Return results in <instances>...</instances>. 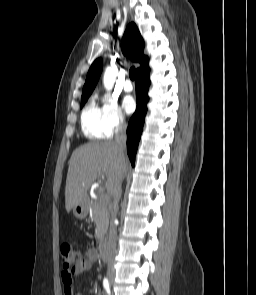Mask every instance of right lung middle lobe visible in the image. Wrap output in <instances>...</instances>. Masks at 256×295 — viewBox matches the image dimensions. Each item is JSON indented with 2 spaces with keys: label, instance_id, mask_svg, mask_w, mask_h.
Returning a JSON list of instances; mask_svg holds the SVG:
<instances>
[{
  "label": "right lung middle lobe",
  "instance_id": "obj_1",
  "mask_svg": "<svg viewBox=\"0 0 256 295\" xmlns=\"http://www.w3.org/2000/svg\"><path fill=\"white\" fill-rule=\"evenodd\" d=\"M89 96H83L81 97V107L84 106V104L86 103V101L88 100Z\"/></svg>",
  "mask_w": 256,
  "mask_h": 295
}]
</instances>
